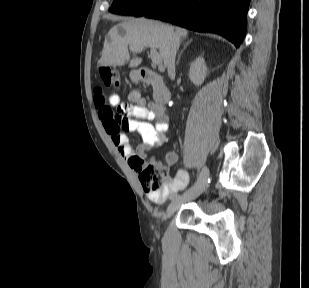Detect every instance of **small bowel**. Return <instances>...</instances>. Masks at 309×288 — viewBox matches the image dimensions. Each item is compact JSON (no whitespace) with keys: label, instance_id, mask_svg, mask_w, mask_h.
Masks as SVG:
<instances>
[{"label":"small bowel","instance_id":"c3829d8e","mask_svg":"<svg viewBox=\"0 0 309 288\" xmlns=\"http://www.w3.org/2000/svg\"><path fill=\"white\" fill-rule=\"evenodd\" d=\"M109 102L113 106L124 107L128 112V119L124 125L118 126L109 117L100 114L105 130L121 156L135 172H138L140 167L136 159H147L149 150L158 149L166 142L169 117L163 108L154 102H147L138 93H132L128 103H120L118 95H112ZM123 131L139 134L142 142L134 147ZM177 160L178 154L175 151L166 153L165 163L167 165H174ZM187 183V173L179 170L160 192L147 193V198L153 203L163 204L176 190L185 188Z\"/></svg>","mask_w":309,"mask_h":288}]
</instances>
